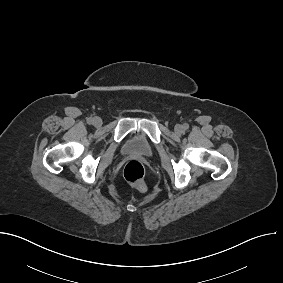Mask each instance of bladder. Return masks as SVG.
I'll return each instance as SVG.
<instances>
[{
	"instance_id": "obj_1",
	"label": "bladder",
	"mask_w": 283,
	"mask_h": 283,
	"mask_svg": "<svg viewBox=\"0 0 283 283\" xmlns=\"http://www.w3.org/2000/svg\"><path fill=\"white\" fill-rule=\"evenodd\" d=\"M121 152L125 155L151 157L154 153V148L145 134L137 132L124 141Z\"/></svg>"
}]
</instances>
